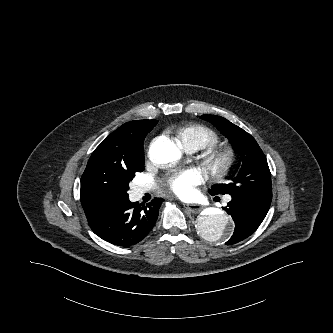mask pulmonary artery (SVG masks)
I'll list each match as a JSON object with an SVG mask.
<instances>
[{"instance_id": "1", "label": "pulmonary artery", "mask_w": 333, "mask_h": 333, "mask_svg": "<svg viewBox=\"0 0 333 333\" xmlns=\"http://www.w3.org/2000/svg\"><path fill=\"white\" fill-rule=\"evenodd\" d=\"M184 149L188 150V151H192V150H196L195 147L193 146H190V145H187V146H182ZM149 190V187H146V186H141V187H138L136 188V193L138 195H142L143 193H145L146 191ZM230 198H227V201H229Z\"/></svg>"}]
</instances>
